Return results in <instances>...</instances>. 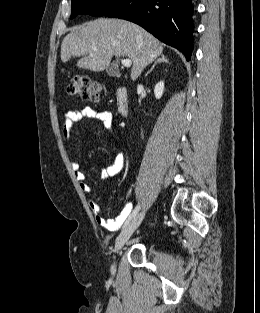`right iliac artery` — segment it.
I'll use <instances>...</instances> for the list:
<instances>
[{"instance_id": "obj_1", "label": "right iliac artery", "mask_w": 260, "mask_h": 313, "mask_svg": "<svg viewBox=\"0 0 260 313\" xmlns=\"http://www.w3.org/2000/svg\"><path fill=\"white\" fill-rule=\"evenodd\" d=\"M139 210H140V205H137L135 207V209L133 210V212H132L131 216L129 217V219L125 222L123 228H125L129 224V222L137 215Z\"/></svg>"}]
</instances>
